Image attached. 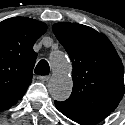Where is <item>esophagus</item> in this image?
Listing matches in <instances>:
<instances>
[{
    "mask_svg": "<svg viewBox=\"0 0 125 125\" xmlns=\"http://www.w3.org/2000/svg\"><path fill=\"white\" fill-rule=\"evenodd\" d=\"M38 79L42 82H47L50 79V76H39Z\"/></svg>",
    "mask_w": 125,
    "mask_h": 125,
    "instance_id": "obj_1",
    "label": "esophagus"
}]
</instances>
